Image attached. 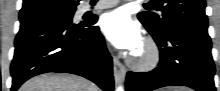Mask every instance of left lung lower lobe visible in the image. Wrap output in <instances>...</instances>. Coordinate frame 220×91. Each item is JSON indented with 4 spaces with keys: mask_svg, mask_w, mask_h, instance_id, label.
<instances>
[{
    "mask_svg": "<svg viewBox=\"0 0 220 91\" xmlns=\"http://www.w3.org/2000/svg\"><path fill=\"white\" fill-rule=\"evenodd\" d=\"M160 50V63L149 73L128 72L126 91H151L182 85L197 91H215V67L207 29L178 26L164 36H153Z\"/></svg>",
    "mask_w": 220,
    "mask_h": 91,
    "instance_id": "left-lung-lower-lobe-1",
    "label": "left lung lower lobe"
}]
</instances>
